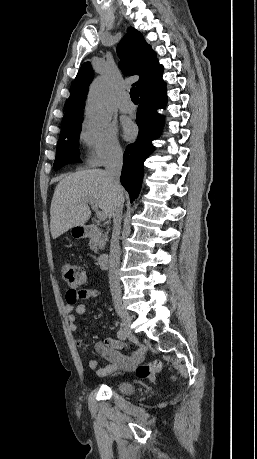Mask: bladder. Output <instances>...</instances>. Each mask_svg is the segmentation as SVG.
<instances>
[{"mask_svg": "<svg viewBox=\"0 0 257 459\" xmlns=\"http://www.w3.org/2000/svg\"><path fill=\"white\" fill-rule=\"evenodd\" d=\"M117 390L125 395H129L135 392L136 388L134 383L128 379H122L117 383Z\"/></svg>", "mask_w": 257, "mask_h": 459, "instance_id": "31cf9c89", "label": "bladder"}]
</instances>
